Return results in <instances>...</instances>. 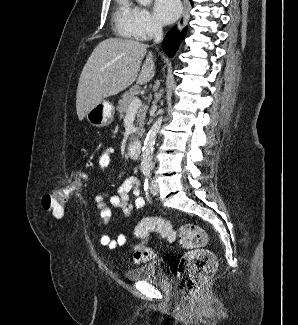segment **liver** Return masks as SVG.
Segmentation results:
<instances>
[{
  "label": "liver",
  "mask_w": 298,
  "mask_h": 325,
  "mask_svg": "<svg viewBox=\"0 0 298 325\" xmlns=\"http://www.w3.org/2000/svg\"><path fill=\"white\" fill-rule=\"evenodd\" d=\"M147 48L149 44L127 38H105L95 46L83 66L76 90L79 120H83L95 104L119 94L133 82L140 86L152 80L156 74L155 56Z\"/></svg>",
  "instance_id": "1"
}]
</instances>
